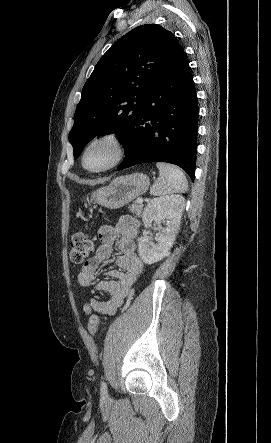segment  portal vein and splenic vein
<instances>
[{
	"label": "portal vein and splenic vein",
	"instance_id": "1",
	"mask_svg": "<svg viewBox=\"0 0 271 443\" xmlns=\"http://www.w3.org/2000/svg\"><path fill=\"white\" fill-rule=\"evenodd\" d=\"M136 202H137V204H143L142 198H137Z\"/></svg>",
	"mask_w": 271,
	"mask_h": 443
}]
</instances>
